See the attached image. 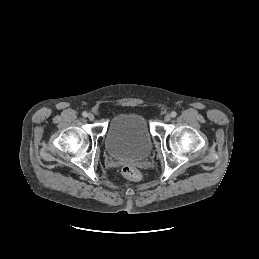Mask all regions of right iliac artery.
I'll use <instances>...</instances> for the list:
<instances>
[{
	"label": "right iliac artery",
	"instance_id": "right-iliac-artery-1",
	"mask_svg": "<svg viewBox=\"0 0 259 259\" xmlns=\"http://www.w3.org/2000/svg\"><path fill=\"white\" fill-rule=\"evenodd\" d=\"M82 116H83V117H87V116H88V113H87L86 111H84V112L82 113Z\"/></svg>",
	"mask_w": 259,
	"mask_h": 259
}]
</instances>
